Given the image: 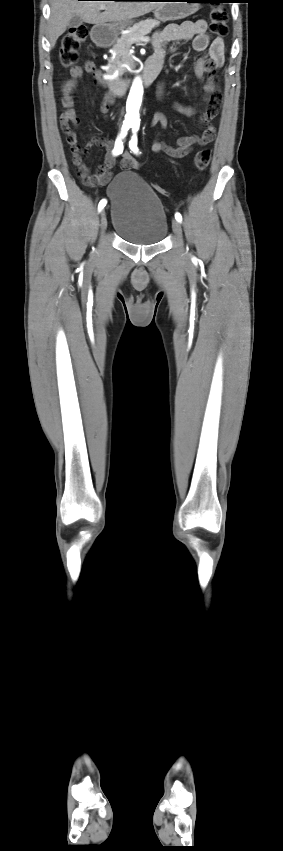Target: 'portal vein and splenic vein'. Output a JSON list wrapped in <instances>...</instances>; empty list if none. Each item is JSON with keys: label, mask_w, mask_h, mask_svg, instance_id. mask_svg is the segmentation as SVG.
<instances>
[{"label": "portal vein and splenic vein", "mask_w": 283, "mask_h": 851, "mask_svg": "<svg viewBox=\"0 0 283 851\" xmlns=\"http://www.w3.org/2000/svg\"><path fill=\"white\" fill-rule=\"evenodd\" d=\"M101 9H105V8H104V7H101ZM136 41H141V42L148 43V42L150 41V38H149L148 36H147V37H142V38L136 39Z\"/></svg>", "instance_id": "portal-vein-and-splenic-vein-1"}]
</instances>
